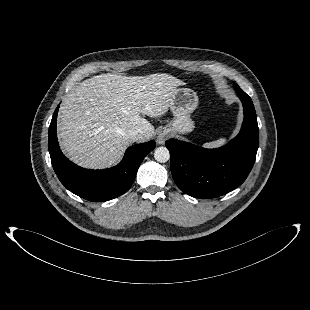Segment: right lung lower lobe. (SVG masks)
I'll list each match as a JSON object with an SVG mask.
<instances>
[{
    "instance_id": "right-lung-lower-lobe-1",
    "label": "right lung lower lobe",
    "mask_w": 310,
    "mask_h": 310,
    "mask_svg": "<svg viewBox=\"0 0 310 310\" xmlns=\"http://www.w3.org/2000/svg\"><path fill=\"white\" fill-rule=\"evenodd\" d=\"M58 109L59 105L49 127L48 149L53 169L61 183L72 193L93 202L108 201L127 192L141 162L155 148V141L129 147L123 160L112 168L84 169L69 161L59 148L56 135Z\"/></svg>"
}]
</instances>
